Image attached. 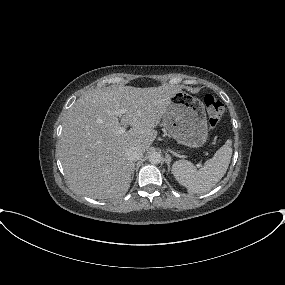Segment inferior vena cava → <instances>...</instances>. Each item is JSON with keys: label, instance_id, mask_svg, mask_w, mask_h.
Returning <instances> with one entry per match:
<instances>
[{"label": "inferior vena cava", "instance_id": "602c4592", "mask_svg": "<svg viewBox=\"0 0 285 285\" xmlns=\"http://www.w3.org/2000/svg\"><path fill=\"white\" fill-rule=\"evenodd\" d=\"M126 153L131 161H137L143 156V150L139 147H130Z\"/></svg>", "mask_w": 285, "mask_h": 285}]
</instances>
